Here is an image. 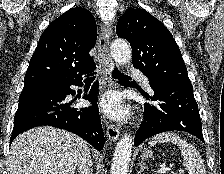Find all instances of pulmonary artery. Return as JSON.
<instances>
[{
    "label": "pulmonary artery",
    "instance_id": "1",
    "mask_svg": "<svg viewBox=\"0 0 224 174\" xmlns=\"http://www.w3.org/2000/svg\"><path fill=\"white\" fill-rule=\"evenodd\" d=\"M131 74L133 76H137V77H140L143 82L145 83V85L149 88V83H148V79L137 69H132L131 70Z\"/></svg>",
    "mask_w": 224,
    "mask_h": 174
}]
</instances>
